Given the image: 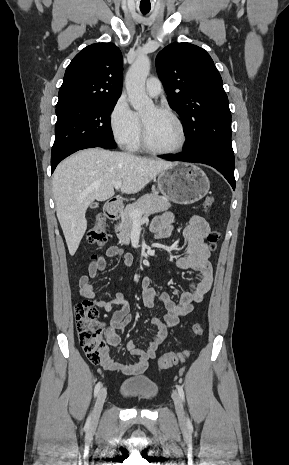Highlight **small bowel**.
Returning <instances> with one entry per match:
<instances>
[{"mask_svg": "<svg viewBox=\"0 0 289 465\" xmlns=\"http://www.w3.org/2000/svg\"><path fill=\"white\" fill-rule=\"evenodd\" d=\"M175 219V214L171 212H165L157 216L151 225V231L155 237L157 239L169 237L174 229ZM186 222L183 236L187 246L185 253L178 259L177 266L182 270L197 272L196 282L190 286L189 291L180 296L178 302H175L168 292H159L154 287V278L144 277L141 282L144 306L154 308L156 302L160 301L164 308L163 318L155 317L151 320L156 332L145 349L139 348L134 341L128 342L127 347L131 355L137 358L134 362L123 363L114 360L109 353V348L106 347L99 362L104 369L121 371L132 376L142 374L149 361L156 357L157 349L166 339L169 328L175 326L181 316L189 314L194 305L200 303L210 290L213 282L212 267L209 262L210 246L207 243L210 228L199 215L188 216ZM105 256L109 258L120 256L126 266H131L134 262V258L130 253L124 252L116 246L109 247L105 252ZM105 268L106 259L104 256L91 261L88 267V275L81 277L79 286L82 297L92 300L94 304L108 313L112 311L113 306H120L118 311L112 313L110 325L105 328L108 345L116 348L120 343L119 333L132 322V315L130 306L121 292H117L109 301L95 299L96 294L89 278H95L97 272L104 271Z\"/></svg>", "mask_w": 289, "mask_h": 465, "instance_id": "c3829d8e", "label": "small bowel"}]
</instances>
